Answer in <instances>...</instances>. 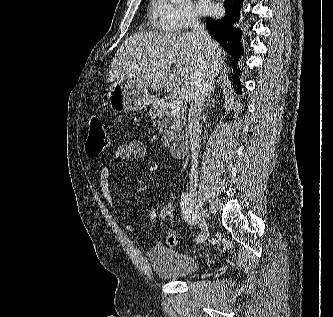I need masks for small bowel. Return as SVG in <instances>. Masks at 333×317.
<instances>
[{"label": "small bowel", "mask_w": 333, "mask_h": 317, "mask_svg": "<svg viewBox=\"0 0 333 317\" xmlns=\"http://www.w3.org/2000/svg\"><path fill=\"white\" fill-rule=\"evenodd\" d=\"M146 155L147 149L145 144L140 140H131L125 144L119 145L112 153L109 162L100 169V188L102 196L112 209L115 210L116 205L110 188L111 163L117 161L140 160L144 159ZM157 211V209L151 210L149 213V219H157ZM120 224L125 230L132 232L136 230L135 225L126 219H121Z\"/></svg>", "instance_id": "1"}]
</instances>
